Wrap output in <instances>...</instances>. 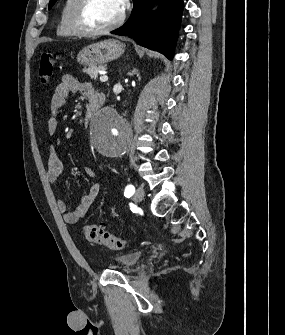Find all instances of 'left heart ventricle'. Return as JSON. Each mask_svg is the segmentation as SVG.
Masks as SVG:
<instances>
[{"mask_svg":"<svg viewBox=\"0 0 285 335\" xmlns=\"http://www.w3.org/2000/svg\"><path fill=\"white\" fill-rule=\"evenodd\" d=\"M120 1H91L85 19L89 26L99 29L112 23L119 13Z\"/></svg>","mask_w":285,"mask_h":335,"instance_id":"1","label":"left heart ventricle"}]
</instances>
